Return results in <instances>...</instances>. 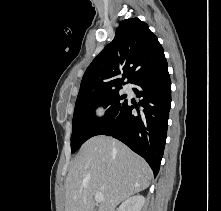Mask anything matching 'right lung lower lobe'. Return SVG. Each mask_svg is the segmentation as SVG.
<instances>
[{
	"mask_svg": "<svg viewBox=\"0 0 221 211\" xmlns=\"http://www.w3.org/2000/svg\"><path fill=\"white\" fill-rule=\"evenodd\" d=\"M133 84L137 97L142 98L138 106L127 101L115 118L97 135L112 136L142 156L153 170L159 172L163 157L168 117L171 105V80L168 66L149 72ZM136 108L138 113L131 110Z\"/></svg>",
	"mask_w": 221,
	"mask_h": 211,
	"instance_id": "98d812e1",
	"label": "right lung lower lobe"
}]
</instances>
